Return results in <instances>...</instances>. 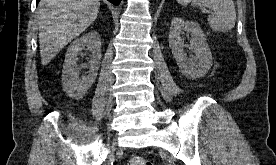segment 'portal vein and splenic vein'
<instances>
[{"label":"portal vein and splenic vein","instance_id":"18ae733b","mask_svg":"<svg viewBox=\"0 0 276 165\" xmlns=\"http://www.w3.org/2000/svg\"><path fill=\"white\" fill-rule=\"evenodd\" d=\"M201 10H202L203 13H210V11L208 9L204 8V7H201Z\"/></svg>","mask_w":276,"mask_h":165}]
</instances>
